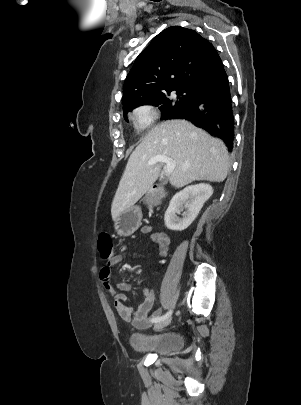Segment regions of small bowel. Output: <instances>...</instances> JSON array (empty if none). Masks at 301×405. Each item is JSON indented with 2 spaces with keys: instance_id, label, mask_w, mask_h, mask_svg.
<instances>
[{
  "instance_id": "obj_1",
  "label": "small bowel",
  "mask_w": 301,
  "mask_h": 405,
  "mask_svg": "<svg viewBox=\"0 0 301 405\" xmlns=\"http://www.w3.org/2000/svg\"><path fill=\"white\" fill-rule=\"evenodd\" d=\"M141 232L151 236L153 243H155L158 248L160 256H167L169 241L164 234L154 232L150 226L142 227ZM123 250H125V247ZM122 260L123 256L121 254L113 253L99 272L100 281L112 295L114 299V307L119 316L123 320L133 323L136 327L146 328L152 323V318L158 317L161 312L159 309L154 310L156 292L151 288L143 286L142 302L137 306L129 305L125 294L129 288L128 284L126 282H119L114 285L111 282V267L119 264Z\"/></svg>"
}]
</instances>
